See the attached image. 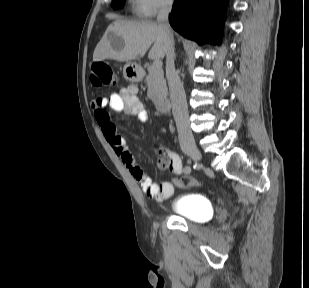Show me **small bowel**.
<instances>
[{
    "instance_id": "1",
    "label": "small bowel",
    "mask_w": 309,
    "mask_h": 288,
    "mask_svg": "<svg viewBox=\"0 0 309 288\" xmlns=\"http://www.w3.org/2000/svg\"><path fill=\"white\" fill-rule=\"evenodd\" d=\"M136 94L137 87L130 86L121 89L119 92L111 93L105 98H97L92 103L94 115L104 139L131 176L140 184L144 194L150 199L164 201L173 195V183L169 181L160 184L155 183L137 164L133 153L128 148L125 137L118 133L110 114V110L124 112L135 117L139 122H146L149 119L148 112L143 108ZM157 163L161 169H170L177 174L182 172V162L179 156L171 150H158Z\"/></svg>"
}]
</instances>
